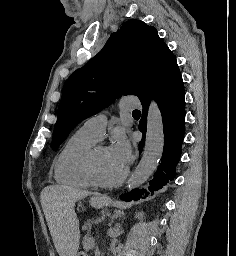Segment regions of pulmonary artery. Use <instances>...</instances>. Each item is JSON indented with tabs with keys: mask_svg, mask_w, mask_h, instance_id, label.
<instances>
[{
	"mask_svg": "<svg viewBox=\"0 0 236 256\" xmlns=\"http://www.w3.org/2000/svg\"><path fill=\"white\" fill-rule=\"evenodd\" d=\"M123 109H138V106H142V101H136V96H123L122 97ZM107 115L106 113H98L88 118L80 130L87 135L94 138L96 141L102 139L106 127Z\"/></svg>",
	"mask_w": 236,
	"mask_h": 256,
	"instance_id": "pulmonary-artery-1",
	"label": "pulmonary artery"
}]
</instances>
